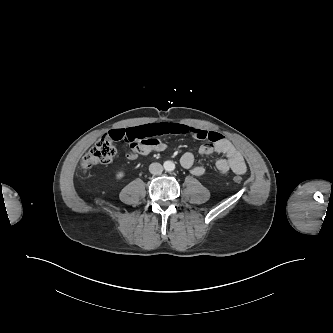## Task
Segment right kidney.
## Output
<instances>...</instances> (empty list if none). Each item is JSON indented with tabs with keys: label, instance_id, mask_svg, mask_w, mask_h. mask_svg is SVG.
Masks as SVG:
<instances>
[{
	"label": "right kidney",
	"instance_id": "obj_1",
	"mask_svg": "<svg viewBox=\"0 0 333 333\" xmlns=\"http://www.w3.org/2000/svg\"><path fill=\"white\" fill-rule=\"evenodd\" d=\"M125 176V172L124 171H119L116 173V179L120 180Z\"/></svg>",
	"mask_w": 333,
	"mask_h": 333
}]
</instances>
